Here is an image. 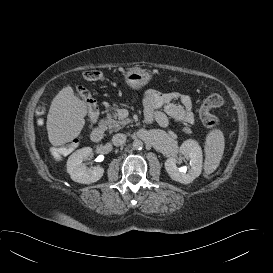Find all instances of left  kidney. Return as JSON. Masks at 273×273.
I'll return each mask as SVG.
<instances>
[{
	"instance_id": "obj_1",
	"label": "left kidney",
	"mask_w": 273,
	"mask_h": 273,
	"mask_svg": "<svg viewBox=\"0 0 273 273\" xmlns=\"http://www.w3.org/2000/svg\"><path fill=\"white\" fill-rule=\"evenodd\" d=\"M179 150L184 158L190 160L188 169L186 167H177L178 157L176 155L169 157L165 161V169L172 180L182 184H189L201 174L203 163L202 149L197 141L188 139L182 143Z\"/></svg>"
}]
</instances>
